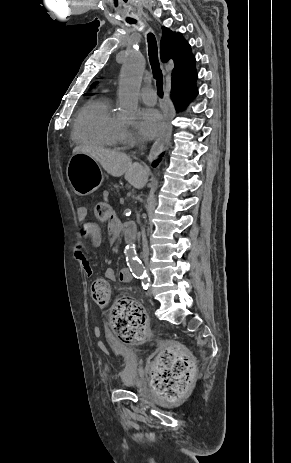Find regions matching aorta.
<instances>
[{"label": "aorta", "mask_w": 291, "mask_h": 463, "mask_svg": "<svg viewBox=\"0 0 291 463\" xmlns=\"http://www.w3.org/2000/svg\"><path fill=\"white\" fill-rule=\"evenodd\" d=\"M145 70V60L137 52H130L121 68L119 81V107L122 117L132 119L137 111L138 95ZM126 263L137 277H144L145 268L138 258L135 247L126 249Z\"/></svg>", "instance_id": "aorta-1"}]
</instances>
